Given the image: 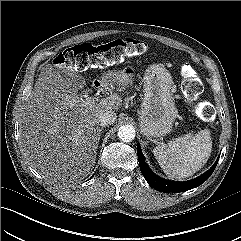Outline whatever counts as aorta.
Returning a JSON list of instances; mask_svg holds the SVG:
<instances>
[{"mask_svg":"<svg viewBox=\"0 0 241 241\" xmlns=\"http://www.w3.org/2000/svg\"><path fill=\"white\" fill-rule=\"evenodd\" d=\"M135 128L132 125H123L118 130V137L124 142H130L135 138Z\"/></svg>","mask_w":241,"mask_h":241,"instance_id":"obj_1","label":"aorta"}]
</instances>
